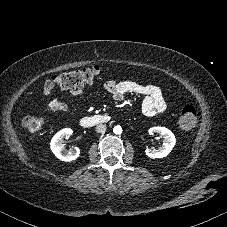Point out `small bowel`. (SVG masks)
I'll return each instance as SVG.
<instances>
[{
	"label": "small bowel",
	"instance_id": "small-bowel-1",
	"mask_svg": "<svg viewBox=\"0 0 227 227\" xmlns=\"http://www.w3.org/2000/svg\"><path fill=\"white\" fill-rule=\"evenodd\" d=\"M53 88L54 82L47 80L43 88V94L46 98L45 108L49 111L71 114L70 107L65 101L52 97ZM104 88L116 101H121L129 93L142 96V111L146 116L160 114L166 109L162 91L158 86L143 85L134 81L118 82L110 79L104 83ZM84 93L83 89L71 92L74 96H81Z\"/></svg>",
	"mask_w": 227,
	"mask_h": 227
}]
</instances>
